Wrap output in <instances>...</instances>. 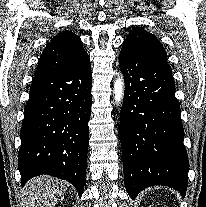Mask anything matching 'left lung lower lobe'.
I'll use <instances>...</instances> for the list:
<instances>
[{"mask_svg":"<svg viewBox=\"0 0 206 207\" xmlns=\"http://www.w3.org/2000/svg\"><path fill=\"white\" fill-rule=\"evenodd\" d=\"M119 61L125 79L120 139L127 192L135 199L141 190L163 185L184 197L189 163L171 67L123 47Z\"/></svg>","mask_w":206,"mask_h":207,"instance_id":"obj_1","label":"left lung lower lobe"}]
</instances>
